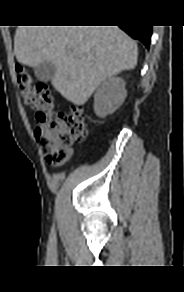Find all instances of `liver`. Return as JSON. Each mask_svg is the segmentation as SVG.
<instances>
[{
    "label": "liver",
    "instance_id": "6515ba94",
    "mask_svg": "<svg viewBox=\"0 0 184 292\" xmlns=\"http://www.w3.org/2000/svg\"><path fill=\"white\" fill-rule=\"evenodd\" d=\"M19 63L56 67L53 87L83 105L108 77L137 65L136 42L117 26H19L14 37Z\"/></svg>",
    "mask_w": 184,
    "mask_h": 292
}]
</instances>
